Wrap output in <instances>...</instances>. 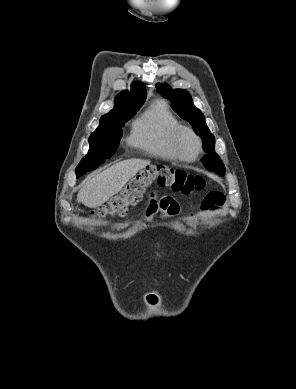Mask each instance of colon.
<instances>
[{"label": "colon", "mask_w": 296, "mask_h": 389, "mask_svg": "<svg viewBox=\"0 0 296 389\" xmlns=\"http://www.w3.org/2000/svg\"><path fill=\"white\" fill-rule=\"evenodd\" d=\"M152 184L183 195L201 192L206 186L201 176L164 164L151 165L131 179L117 196L98 208L94 214L101 217L124 216L129 207L141 201L143 193Z\"/></svg>", "instance_id": "5ec220e1"}]
</instances>
